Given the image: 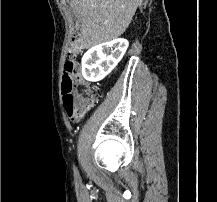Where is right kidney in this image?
Masks as SVG:
<instances>
[{"label": "right kidney", "instance_id": "1", "mask_svg": "<svg viewBox=\"0 0 217 202\" xmlns=\"http://www.w3.org/2000/svg\"><path fill=\"white\" fill-rule=\"evenodd\" d=\"M128 46V40L117 38L88 50L82 58V74L85 80L89 82L103 80L122 60Z\"/></svg>", "mask_w": 217, "mask_h": 202}]
</instances>
